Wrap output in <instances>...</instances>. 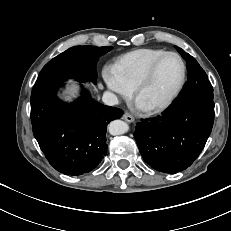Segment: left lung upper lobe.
<instances>
[{"label":"left lung upper lobe","mask_w":231,"mask_h":231,"mask_svg":"<svg viewBox=\"0 0 231 231\" xmlns=\"http://www.w3.org/2000/svg\"><path fill=\"white\" fill-rule=\"evenodd\" d=\"M176 49L186 60L188 81L175 101L194 97L213 99L212 85L205 71L190 54L185 53L184 50L179 47H176Z\"/></svg>","instance_id":"5c2ea615"}]
</instances>
